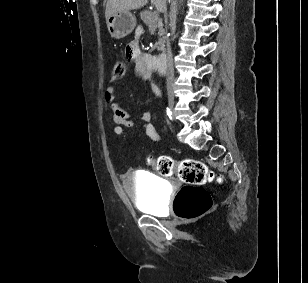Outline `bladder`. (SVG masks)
<instances>
[{
  "label": "bladder",
  "mask_w": 308,
  "mask_h": 283,
  "mask_svg": "<svg viewBox=\"0 0 308 283\" xmlns=\"http://www.w3.org/2000/svg\"><path fill=\"white\" fill-rule=\"evenodd\" d=\"M125 187L139 210L154 216L166 214V184L160 178L145 171L130 173Z\"/></svg>",
  "instance_id": "31cf9c89"
}]
</instances>
